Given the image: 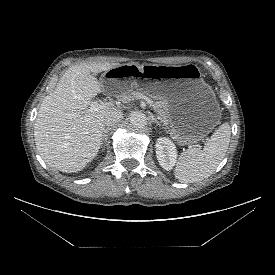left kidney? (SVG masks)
Returning <instances> with one entry per match:
<instances>
[{
  "label": "left kidney",
  "instance_id": "obj_1",
  "mask_svg": "<svg viewBox=\"0 0 275 275\" xmlns=\"http://www.w3.org/2000/svg\"><path fill=\"white\" fill-rule=\"evenodd\" d=\"M155 146L160 166L167 171L173 169L177 158V151L173 142L166 137H160Z\"/></svg>",
  "mask_w": 275,
  "mask_h": 275
}]
</instances>
